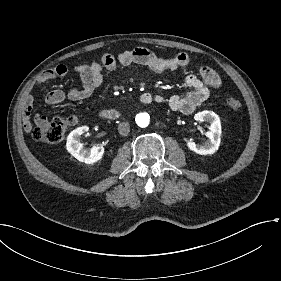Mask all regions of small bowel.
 <instances>
[{"mask_svg":"<svg viewBox=\"0 0 281 281\" xmlns=\"http://www.w3.org/2000/svg\"><path fill=\"white\" fill-rule=\"evenodd\" d=\"M132 64L143 65L154 72L161 73L190 67L192 62L185 53H178L173 57L166 58L158 56L144 48H135L117 55L105 54L100 60L74 67V70L79 74L81 79L80 87L71 88L66 91L61 89L51 90L45 94L44 100L47 104H58L66 99L72 101L86 99L101 85L105 71L115 70L118 65L130 66ZM67 71V67L62 64L48 69L39 76L38 84H43L54 78L63 77ZM185 83L191 88L188 93L170 96L151 94L152 98L150 102L165 104L174 112L190 114L208 99L211 89L221 87L222 79L216 71L208 66L202 65L196 68V74L186 76ZM33 101L32 95L29 94L26 96L22 114L23 129L26 132H31L34 129V124L30 119ZM35 121L38 124H43L46 121V115L43 112H38L35 115Z\"/></svg>","mask_w":281,"mask_h":281,"instance_id":"c3829d8e","label":"small bowel"}]
</instances>
